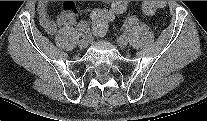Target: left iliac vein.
I'll return each instance as SVG.
<instances>
[{
    "mask_svg": "<svg viewBox=\"0 0 207 121\" xmlns=\"http://www.w3.org/2000/svg\"><path fill=\"white\" fill-rule=\"evenodd\" d=\"M117 44L119 45L120 48H125L128 44V40L125 36H120L117 39Z\"/></svg>",
    "mask_w": 207,
    "mask_h": 121,
    "instance_id": "obj_1",
    "label": "left iliac vein"
}]
</instances>
